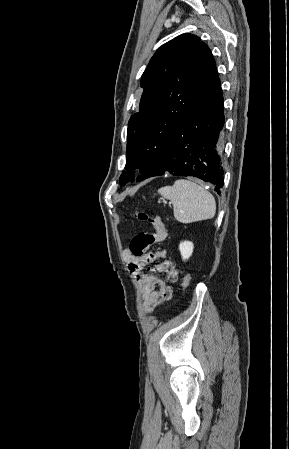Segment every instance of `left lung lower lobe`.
<instances>
[{
    "mask_svg": "<svg viewBox=\"0 0 289 449\" xmlns=\"http://www.w3.org/2000/svg\"><path fill=\"white\" fill-rule=\"evenodd\" d=\"M223 96L216 64L207 77L192 111L171 131L166 157L154 176L166 172L193 176L223 187L221 135L225 122ZM152 177V176H151Z\"/></svg>",
    "mask_w": 289,
    "mask_h": 449,
    "instance_id": "0a47b994",
    "label": "left lung lower lobe"
}]
</instances>
